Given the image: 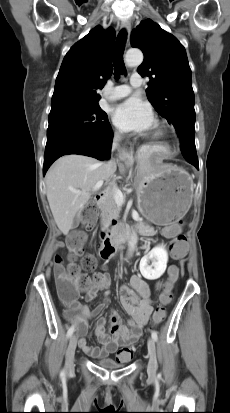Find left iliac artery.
Instances as JSON below:
<instances>
[{"label":"left iliac artery","mask_w":230,"mask_h":413,"mask_svg":"<svg viewBox=\"0 0 230 413\" xmlns=\"http://www.w3.org/2000/svg\"><path fill=\"white\" fill-rule=\"evenodd\" d=\"M152 338L156 341L158 339V334L156 331H152Z\"/></svg>","instance_id":"44dca946"}]
</instances>
